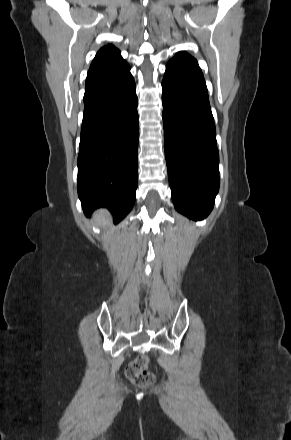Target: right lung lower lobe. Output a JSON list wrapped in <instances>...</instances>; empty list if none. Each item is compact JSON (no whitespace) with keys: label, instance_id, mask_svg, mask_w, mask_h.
<instances>
[{"label":"right lung lower lobe","instance_id":"right-lung-lower-lobe-1","mask_svg":"<svg viewBox=\"0 0 291 440\" xmlns=\"http://www.w3.org/2000/svg\"><path fill=\"white\" fill-rule=\"evenodd\" d=\"M138 99L130 66L88 76L78 155V195L87 216L107 207L118 223L138 181Z\"/></svg>","mask_w":291,"mask_h":440}]
</instances>
